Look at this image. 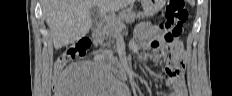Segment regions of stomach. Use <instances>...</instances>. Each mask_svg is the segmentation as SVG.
Wrapping results in <instances>:
<instances>
[{"instance_id": "stomach-1", "label": "stomach", "mask_w": 232, "mask_h": 96, "mask_svg": "<svg viewBox=\"0 0 232 96\" xmlns=\"http://www.w3.org/2000/svg\"><path fill=\"white\" fill-rule=\"evenodd\" d=\"M166 0H142V6L146 16H153L165 5Z\"/></svg>"}]
</instances>
